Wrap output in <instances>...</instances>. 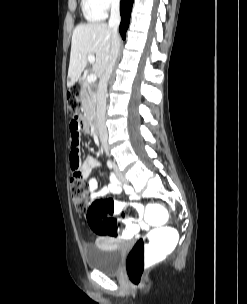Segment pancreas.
Here are the masks:
<instances>
[{
	"mask_svg": "<svg viewBox=\"0 0 247 304\" xmlns=\"http://www.w3.org/2000/svg\"><path fill=\"white\" fill-rule=\"evenodd\" d=\"M83 85H85L87 88L85 90L81 89L80 91L82 110L84 111L85 115L91 116L95 113L96 95L88 82H84Z\"/></svg>",
	"mask_w": 247,
	"mask_h": 304,
	"instance_id": "cf45deb5",
	"label": "pancreas"
}]
</instances>
